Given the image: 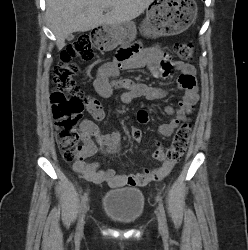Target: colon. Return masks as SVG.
<instances>
[{
	"mask_svg": "<svg viewBox=\"0 0 248 250\" xmlns=\"http://www.w3.org/2000/svg\"><path fill=\"white\" fill-rule=\"evenodd\" d=\"M177 56L184 60H191L193 46L191 43H177L174 45ZM129 57V49H124L118 54V61ZM94 58L91 36L84 34L70 43L62 52L60 61L55 68L54 83L56 89L51 94V108L54 124L57 131L60 152L67 162H76L81 148L79 146V133L77 123L90 100L80 90L74 81L79 62H89ZM192 134V124L189 119L183 121L176 130L171 145L164 151L165 157L171 161H178L188 148ZM138 130L132 131V139H140Z\"/></svg>",
	"mask_w": 248,
	"mask_h": 250,
	"instance_id": "5ec220e1",
	"label": "colon"
}]
</instances>
